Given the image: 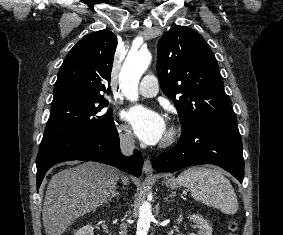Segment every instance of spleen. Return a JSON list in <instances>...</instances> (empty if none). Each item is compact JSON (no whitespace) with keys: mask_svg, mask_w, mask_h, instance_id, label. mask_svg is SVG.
<instances>
[{"mask_svg":"<svg viewBox=\"0 0 283 235\" xmlns=\"http://www.w3.org/2000/svg\"><path fill=\"white\" fill-rule=\"evenodd\" d=\"M191 196L203 204L219 209L224 214H235L238 200L230 181L219 171L204 167L188 168L176 178Z\"/></svg>","mask_w":283,"mask_h":235,"instance_id":"1","label":"spleen"}]
</instances>
